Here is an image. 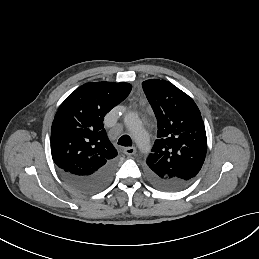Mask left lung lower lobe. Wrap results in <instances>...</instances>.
<instances>
[{"instance_id": "left-lung-lower-lobe-1", "label": "left lung lower lobe", "mask_w": 259, "mask_h": 259, "mask_svg": "<svg viewBox=\"0 0 259 259\" xmlns=\"http://www.w3.org/2000/svg\"><path fill=\"white\" fill-rule=\"evenodd\" d=\"M149 181L157 188L165 191H177L184 188L188 183L185 182H165L157 179L147 172Z\"/></svg>"}]
</instances>
